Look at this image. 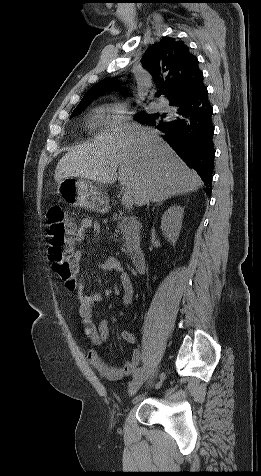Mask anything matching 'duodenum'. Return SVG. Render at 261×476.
I'll return each mask as SVG.
<instances>
[{
	"instance_id": "duodenum-1",
	"label": "duodenum",
	"mask_w": 261,
	"mask_h": 476,
	"mask_svg": "<svg viewBox=\"0 0 261 476\" xmlns=\"http://www.w3.org/2000/svg\"><path fill=\"white\" fill-rule=\"evenodd\" d=\"M131 261L133 268L136 272L142 273L145 271L146 268V259L145 254L142 250L137 249L131 255Z\"/></svg>"
}]
</instances>
